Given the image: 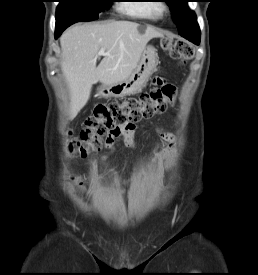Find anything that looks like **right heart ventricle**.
Wrapping results in <instances>:
<instances>
[{
	"mask_svg": "<svg viewBox=\"0 0 258 275\" xmlns=\"http://www.w3.org/2000/svg\"><path fill=\"white\" fill-rule=\"evenodd\" d=\"M121 8L128 14L150 20H157L163 14V5L154 1L126 3Z\"/></svg>",
	"mask_w": 258,
	"mask_h": 275,
	"instance_id": "obj_1",
	"label": "right heart ventricle"
}]
</instances>
